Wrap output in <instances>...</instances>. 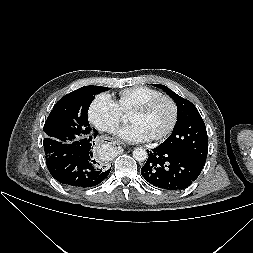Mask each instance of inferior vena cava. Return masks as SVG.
Returning a JSON list of instances; mask_svg holds the SVG:
<instances>
[{
    "label": "inferior vena cava",
    "instance_id": "1",
    "mask_svg": "<svg viewBox=\"0 0 253 253\" xmlns=\"http://www.w3.org/2000/svg\"><path fill=\"white\" fill-rule=\"evenodd\" d=\"M116 130H117V127H111L109 131H110L111 133H114V132H116Z\"/></svg>",
    "mask_w": 253,
    "mask_h": 253
}]
</instances>
